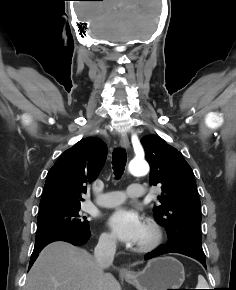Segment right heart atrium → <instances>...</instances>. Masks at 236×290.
I'll use <instances>...</instances> for the list:
<instances>
[{
	"mask_svg": "<svg viewBox=\"0 0 236 290\" xmlns=\"http://www.w3.org/2000/svg\"><path fill=\"white\" fill-rule=\"evenodd\" d=\"M99 242L102 246L107 248H113L116 245L115 237L107 232H104L100 235Z\"/></svg>",
	"mask_w": 236,
	"mask_h": 290,
	"instance_id": "d8ad5b80",
	"label": "right heart atrium"
}]
</instances>
